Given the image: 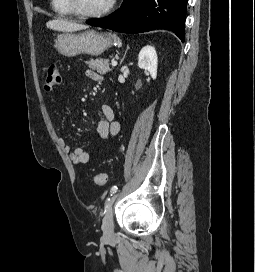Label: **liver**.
I'll list each match as a JSON object with an SVG mask.
<instances>
[{
	"mask_svg": "<svg viewBox=\"0 0 255 272\" xmlns=\"http://www.w3.org/2000/svg\"><path fill=\"white\" fill-rule=\"evenodd\" d=\"M47 28L62 32H74L86 29V25L70 22L65 19L57 18L46 23Z\"/></svg>",
	"mask_w": 255,
	"mask_h": 272,
	"instance_id": "obj_1",
	"label": "liver"
}]
</instances>
